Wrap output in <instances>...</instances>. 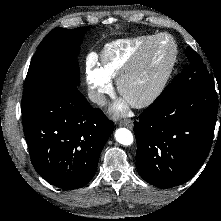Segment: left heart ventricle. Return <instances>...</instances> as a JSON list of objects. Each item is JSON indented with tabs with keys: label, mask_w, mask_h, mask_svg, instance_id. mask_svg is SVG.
I'll use <instances>...</instances> for the list:
<instances>
[{
	"label": "left heart ventricle",
	"mask_w": 221,
	"mask_h": 221,
	"mask_svg": "<svg viewBox=\"0 0 221 221\" xmlns=\"http://www.w3.org/2000/svg\"><path fill=\"white\" fill-rule=\"evenodd\" d=\"M171 52L168 39H161L153 46L144 69L127 87L126 95L129 99H139L154 87L170 59Z\"/></svg>",
	"instance_id": "1"
}]
</instances>
